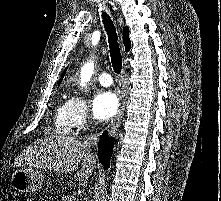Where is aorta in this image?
<instances>
[{
  "label": "aorta",
  "instance_id": "aorta-1",
  "mask_svg": "<svg viewBox=\"0 0 221 201\" xmlns=\"http://www.w3.org/2000/svg\"><path fill=\"white\" fill-rule=\"evenodd\" d=\"M94 71V63H87L81 73V85L85 86V82L89 81Z\"/></svg>",
  "mask_w": 221,
  "mask_h": 201
}]
</instances>
